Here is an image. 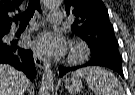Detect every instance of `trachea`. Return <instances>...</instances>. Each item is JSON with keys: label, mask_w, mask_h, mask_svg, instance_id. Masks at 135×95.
<instances>
[{"label": "trachea", "mask_w": 135, "mask_h": 95, "mask_svg": "<svg viewBox=\"0 0 135 95\" xmlns=\"http://www.w3.org/2000/svg\"><path fill=\"white\" fill-rule=\"evenodd\" d=\"M35 10L41 13L40 0H29L27 9L23 13L15 16L17 20H20V26H27Z\"/></svg>", "instance_id": "trachea-1"}]
</instances>
